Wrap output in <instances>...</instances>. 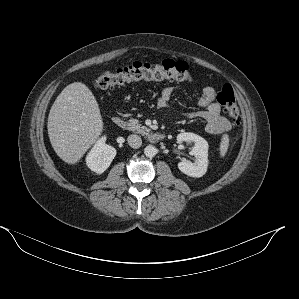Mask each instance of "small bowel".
Returning <instances> with one entry per match:
<instances>
[{
  "instance_id": "1",
  "label": "small bowel",
  "mask_w": 299,
  "mask_h": 299,
  "mask_svg": "<svg viewBox=\"0 0 299 299\" xmlns=\"http://www.w3.org/2000/svg\"><path fill=\"white\" fill-rule=\"evenodd\" d=\"M173 97V89L165 87L161 90L156 104L164 109L168 106ZM200 111L188 113L189 118H199L205 121L206 131L210 134H222L231 129L230 121L221 114V107L215 101V90L212 87H205L202 96L198 101Z\"/></svg>"
}]
</instances>
